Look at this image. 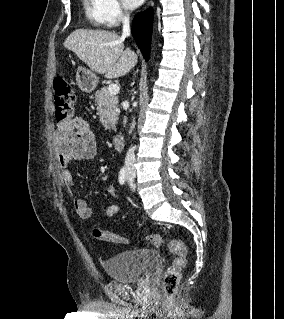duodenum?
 Segmentation results:
<instances>
[{
  "label": "duodenum",
  "mask_w": 284,
  "mask_h": 319,
  "mask_svg": "<svg viewBox=\"0 0 284 319\" xmlns=\"http://www.w3.org/2000/svg\"><path fill=\"white\" fill-rule=\"evenodd\" d=\"M113 145L116 149H122L124 146V136L122 134H116L113 137Z\"/></svg>",
  "instance_id": "duodenum-1"
}]
</instances>
